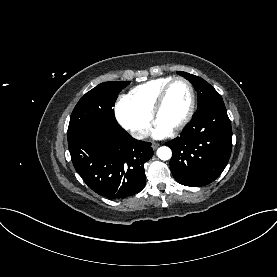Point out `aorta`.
I'll use <instances>...</instances> for the list:
<instances>
[{"label": "aorta", "mask_w": 277, "mask_h": 277, "mask_svg": "<svg viewBox=\"0 0 277 277\" xmlns=\"http://www.w3.org/2000/svg\"><path fill=\"white\" fill-rule=\"evenodd\" d=\"M157 156L161 160H169L172 156V151L167 146H162L157 149Z\"/></svg>", "instance_id": "obj_1"}]
</instances>
